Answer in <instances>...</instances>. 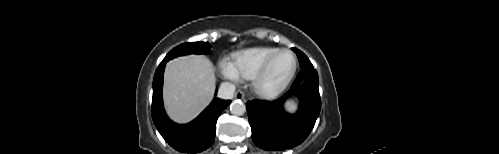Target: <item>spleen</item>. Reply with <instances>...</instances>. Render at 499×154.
<instances>
[{
  "instance_id": "obj_1",
  "label": "spleen",
  "mask_w": 499,
  "mask_h": 154,
  "mask_svg": "<svg viewBox=\"0 0 499 154\" xmlns=\"http://www.w3.org/2000/svg\"><path fill=\"white\" fill-rule=\"evenodd\" d=\"M285 107L287 109V111H294L296 109V102L294 100H288L286 103H285Z\"/></svg>"
}]
</instances>
